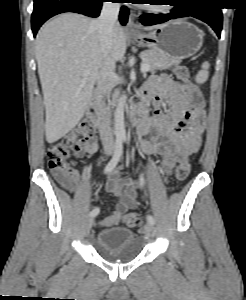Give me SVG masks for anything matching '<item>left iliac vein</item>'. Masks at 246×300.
<instances>
[{"label":"left iliac vein","instance_id":"1","mask_svg":"<svg viewBox=\"0 0 246 300\" xmlns=\"http://www.w3.org/2000/svg\"><path fill=\"white\" fill-rule=\"evenodd\" d=\"M144 234L148 238H152L155 234V228L154 225L151 223H146L144 226Z\"/></svg>","mask_w":246,"mask_h":300}]
</instances>
